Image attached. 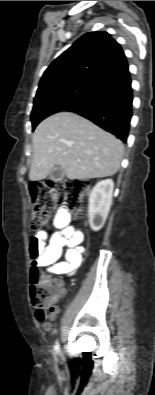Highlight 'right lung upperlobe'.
Masks as SVG:
<instances>
[{
  "label": "right lung upper lobe",
  "instance_id": "cb5924a9",
  "mask_svg": "<svg viewBox=\"0 0 155 395\" xmlns=\"http://www.w3.org/2000/svg\"><path fill=\"white\" fill-rule=\"evenodd\" d=\"M126 70L128 63L120 44L107 32H90L49 65L37 91L75 80L102 83L108 76Z\"/></svg>",
  "mask_w": 155,
  "mask_h": 395
}]
</instances>
